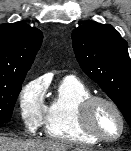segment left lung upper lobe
Wrapping results in <instances>:
<instances>
[{
	"instance_id": "obj_1",
	"label": "left lung upper lobe",
	"mask_w": 131,
	"mask_h": 151,
	"mask_svg": "<svg viewBox=\"0 0 131 151\" xmlns=\"http://www.w3.org/2000/svg\"><path fill=\"white\" fill-rule=\"evenodd\" d=\"M72 40L83 71L113 100L131 127V59L127 42L111 25L94 21L74 29Z\"/></svg>"
}]
</instances>
